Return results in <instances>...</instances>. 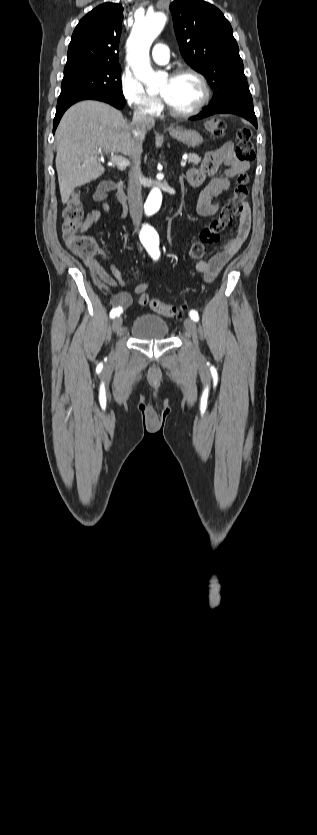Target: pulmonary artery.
<instances>
[{"mask_svg": "<svg viewBox=\"0 0 317 835\" xmlns=\"http://www.w3.org/2000/svg\"><path fill=\"white\" fill-rule=\"evenodd\" d=\"M151 56L155 62L165 64L169 61V49L165 44L157 43L152 49Z\"/></svg>", "mask_w": 317, "mask_h": 835, "instance_id": "e3ab8cb5", "label": "pulmonary artery"}]
</instances>
